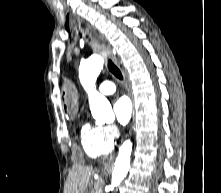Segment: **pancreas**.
Wrapping results in <instances>:
<instances>
[{
    "label": "pancreas",
    "instance_id": "1",
    "mask_svg": "<svg viewBox=\"0 0 221 193\" xmlns=\"http://www.w3.org/2000/svg\"><path fill=\"white\" fill-rule=\"evenodd\" d=\"M95 187H96V189H98V186H97V185H96Z\"/></svg>",
    "mask_w": 221,
    "mask_h": 193
}]
</instances>
